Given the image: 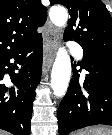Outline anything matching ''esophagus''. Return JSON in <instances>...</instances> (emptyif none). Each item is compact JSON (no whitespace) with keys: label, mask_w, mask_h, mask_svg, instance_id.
<instances>
[{"label":"esophagus","mask_w":112,"mask_h":135,"mask_svg":"<svg viewBox=\"0 0 112 135\" xmlns=\"http://www.w3.org/2000/svg\"><path fill=\"white\" fill-rule=\"evenodd\" d=\"M44 39L43 73L50 68L58 48V30L54 28L51 23L48 24L47 29L45 30Z\"/></svg>","instance_id":"1"}]
</instances>
